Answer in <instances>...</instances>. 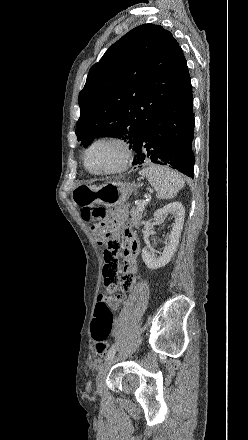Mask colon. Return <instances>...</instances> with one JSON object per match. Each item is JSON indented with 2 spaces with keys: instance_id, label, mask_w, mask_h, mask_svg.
<instances>
[{
  "instance_id": "1",
  "label": "colon",
  "mask_w": 248,
  "mask_h": 440,
  "mask_svg": "<svg viewBox=\"0 0 248 440\" xmlns=\"http://www.w3.org/2000/svg\"><path fill=\"white\" fill-rule=\"evenodd\" d=\"M82 216L92 223V232L96 241L105 245L103 257H119L123 245L112 235L111 225L105 219L106 211L103 208L84 207ZM113 322L114 316L108 305L106 303L100 304L97 301L91 331L98 357H102L107 352V339L111 333Z\"/></svg>"
}]
</instances>
